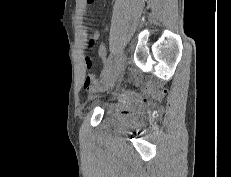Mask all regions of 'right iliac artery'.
Listing matches in <instances>:
<instances>
[{"label":"right iliac artery","instance_id":"1","mask_svg":"<svg viewBox=\"0 0 231 177\" xmlns=\"http://www.w3.org/2000/svg\"><path fill=\"white\" fill-rule=\"evenodd\" d=\"M112 66V57H109L102 70L101 77H104Z\"/></svg>","mask_w":231,"mask_h":177}]
</instances>
